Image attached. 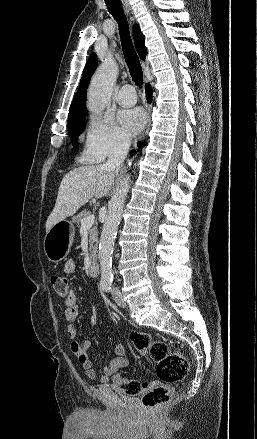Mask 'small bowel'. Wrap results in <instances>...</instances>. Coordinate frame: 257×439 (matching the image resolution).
<instances>
[{"label":"small bowel","mask_w":257,"mask_h":439,"mask_svg":"<svg viewBox=\"0 0 257 439\" xmlns=\"http://www.w3.org/2000/svg\"><path fill=\"white\" fill-rule=\"evenodd\" d=\"M63 271L67 275L73 274L75 271L74 261H66ZM65 305L66 309L64 315L66 321L68 322L67 333L72 339L71 350L81 366L84 368L87 377L94 381L100 379L101 382L108 383L112 380H115L117 377L122 376L124 374V369L128 368L129 366L125 345L122 342H118L116 344L114 349V357L107 364H105L103 373L99 377L95 370L94 363L88 354V349L91 345L90 341L79 340L77 338V328L74 322L79 314V306L77 304V297L74 293L71 294V296L65 302Z\"/></svg>","instance_id":"obj_1"}]
</instances>
